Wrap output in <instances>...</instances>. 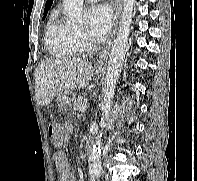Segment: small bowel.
<instances>
[{
  "label": "small bowel",
  "instance_id": "1",
  "mask_svg": "<svg viewBox=\"0 0 197 181\" xmlns=\"http://www.w3.org/2000/svg\"><path fill=\"white\" fill-rule=\"evenodd\" d=\"M56 171L59 173V181H75V174L70 162L63 150H58L53 155Z\"/></svg>",
  "mask_w": 197,
  "mask_h": 181
}]
</instances>
